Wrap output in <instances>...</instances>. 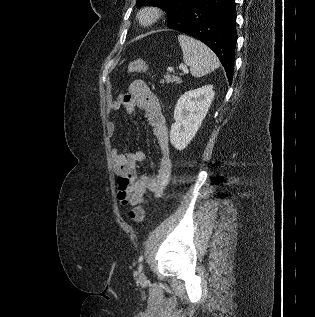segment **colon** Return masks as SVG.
<instances>
[{
	"instance_id": "colon-1",
	"label": "colon",
	"mask_w": 315,
	"mask_h": 317,
	"mask_svg": "<svg viewBox=\"0 0 315 317\" xmlns=\"http://www.w3.org/2000/svg\"><path fill=\"white\" fill-rule=\"evenodd\" d=\"M148 69L147 63L142 59H136L130 62L128 66V70L131 73H141L145 72ZM131 219L136 222L140 223L145 218V210L142 205H136L132 208L130 212Z\"/></svg>"
}]
</instances>
